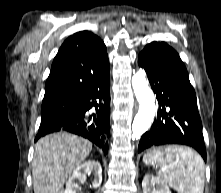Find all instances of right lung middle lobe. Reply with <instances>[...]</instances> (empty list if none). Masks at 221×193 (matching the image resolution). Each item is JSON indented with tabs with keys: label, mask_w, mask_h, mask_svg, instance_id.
Listing matches in <instances>:
<instances>
[{
	"label": "right lung middle lobe",
	"mask_w": 221,
	"mask_h": 193,
	"mask_svg": "<svg viewBox=\"0 0 221 193\" xmlns=\"http://www.w3.org/2000/svg\"><path fill=\"white\" fill-rule=\"evenodd\" d=\"M74 99H59L42 102L41 125L48 124L62 118L73 110Z\"/></svg>",
	"instance_id": "dd1d6c3e"
}]
</instances>
